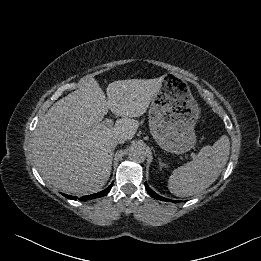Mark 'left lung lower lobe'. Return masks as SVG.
<instances>
[{"label": "left lung lower lobe", "instance_id": "left-lung-lower-lobe-1", "mask_svg": "<svg viewBox=\"0 0 261 261\" xmlns=\"http://www.w3.org/2000/svg\"><path fill=\"white\" fill-rule=\"evenodd\" d=\"M145 187H146V190L147 192L149 193L150 196L156 198V199H159V200H162V201H169V202H174V203H177L179 201H175V200H169V199H166L164 197H161L159 196L158 194H156L154 191H152L149 186L147 185V183H145Z\"/></svg>", "mask_w": 261, "mask_h": 261}]
</instances>
